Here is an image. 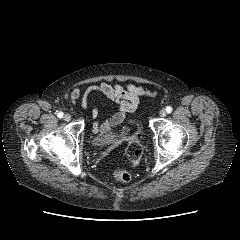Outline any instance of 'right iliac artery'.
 <instances>
[{
  "label": "right iliac artery",
  "mask_w": 240,
  "mask_h": 240,
  "mask_svg": "<svg viewBox=\"0 0 240 240\" xmlns=\"http://www.w3.org/2000/svg\"><path fill=\"white\" fill-rule=\"evenodd\" d=\"M57 116H58L59 118H63L64 114H63V112H58V113H57Z\"/></svg>",
  "instance_id": "right-iliac-artery-1"
}]
</instances>
